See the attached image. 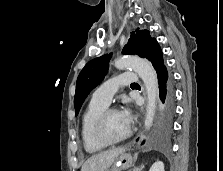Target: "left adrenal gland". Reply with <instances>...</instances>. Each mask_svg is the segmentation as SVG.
<instances>
[{
	"label": "left adrenal gland",
	"mask_w": 223,
	"mask_h": 171,
	"mask_svg": "<svg viewBox=\"0 0 223 171\" xmlns=\"http://www.w3.org/2000/svg\"><path fill=\"white\" fill-rule=\"evenodd\" d=\"M143 168H144V165H142V166H140V167H134V168L132 169V171H142Z\"/></svg>",
	"instance_id": "left-adrenal-gland-1"
}]
</instances>
